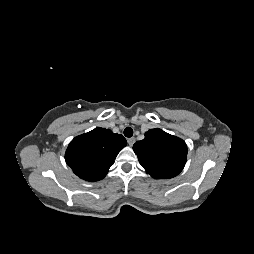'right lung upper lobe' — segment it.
Returning a JSON list of instances; mask_svg holds the SVG:
<instances>
[{"instance_id":"obj_1","label":"right lung upper lobe","mask_w":254,"mask_h":254,"mask_svg":"<svg viewBox=\"0 0 254 254\" xmlns=\"http://www.w3.org/2000/svg\"><path fill=\"white\" fill-rule=\"evenodd\" d=\"M126 145V139L121 134L97 127L69 143L65 160L81 179L99 181L105 177L117 154Z\"/></svg>"}]
</instances>
